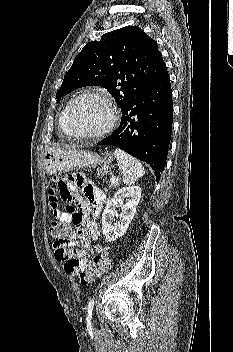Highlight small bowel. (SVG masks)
<instances>
[{
  "mask_svg": "<svg viewBox=\"0 0 233 352\" xmlns=\"http://www.w3.org/2000/svg\"><path fill=\"white\" fill-rule=\"evenodd\" d=\"M105 200V193L82 174L70 173L52 179L49 189L52 214L71 231L65 247L57 241L54 243V254L57 261L64 263V270L69 275L83 270L90 262L88 257L94 254L92 242L99 235L96 218ZM73 201L77 203L75 209L69 210V206L61 209V202Z\"/></svg>",
  "mask_w": 233,
  "mask_h": 352,
  "instance_id": "1",
  "label": "small bowel"
}]
</instances>
